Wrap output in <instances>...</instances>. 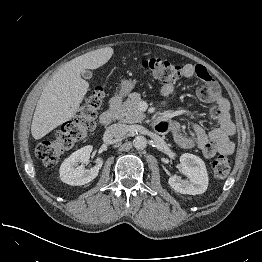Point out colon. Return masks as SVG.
<instances>
[{
	"instance_id": "5ec220e1",
	"label": "colon",
	"mask_w": 262,
	"mask_h": 262,
	"mask_svg": "<svg viewBox=\"0 0 262 262\" xmlns=\"http://www.w3.org/2000/svg\"><path fill=\"white\" fill-rule=\"evenodd\" d=\"M141 70L152 80L162 85H172L183 76L180 66L158 58L146 59L141 64ZM103 93L94 90L85 100L76 117L62 126L56 139L42 141L36 148L38 157L47 166L55 165L59 159L72 149L81 139L95 128L97 110L101 104ZM228 154L221 153L213 163V173L216 179H224L230 171Z\"/></svg>"
}]
</instances>
